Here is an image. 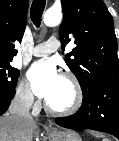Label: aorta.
<instances>
[{
    "label": "aorta",
    "mask_w": 119,
    "mask_h": 141,
    "mask_svg": "<svg viewBox=\"0 0 119 141\" xmlns=\"http://www.w3.org/2000/svg\"><path fill=\"white\" fill-rule=\"evenodd\" d=\"M62 20V13L60 9L50 8L48 9L45 14L43 21L46 26L52 27L60 24Z\"/></svg>",
    "instance_id": "aorta-1"
}]
</instances>
